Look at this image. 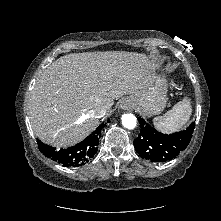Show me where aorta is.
<instances>
[{
    "label": "aorta",
    "instance_id": "obj_1",
    "mask_svg": "<svg viewBox=\"0 0 221 221\" xmlns=\"http://www.w3.org/2000/svg\"><path fill=\"white\" fill-rule=\"evenodd\" d=\"M122 125L127 129H134L137 125L136 117L133 114L122 115Z\"/></svg>",
    "mask_w": 221,
    "mask_h": 221
}]
</instances>
